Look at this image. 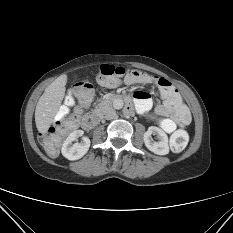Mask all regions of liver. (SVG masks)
<instances>
[{
    "instance_id": "6515ba94",
    "label": "liver",
    "mask_w": 233,
    "mask_h": 233,
    "mask_svg": "<svg viewBox=\"0 0 233 233\" xmlns=\"http://www.w3.org/2000/svg\"><path fill=\"white\" fill-rule=\"evenodd\" d=\"M67 75L63 74L45 89L39 98L35 109L37 130L45 134L50 128L65 95Z\"/></svg>"
}]
</instances>
